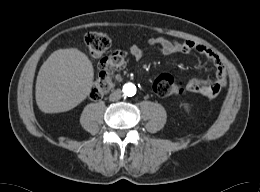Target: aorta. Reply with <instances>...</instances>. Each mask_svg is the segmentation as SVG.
Listing matches in <instances>:
<instances>
[{
  "instance_id": "obj_1",
  "label": "aorta",
  "mask_w": 260,
  "mask_h": 192,
  "mask_svg": "<svg viewBox=\"0 0 260 192\" xmlns=\"http://www.w3.org/2000/svg\"><path fill=\"white\" fill-rule=\"evenodd\" d=\"M123 93L129 97L134 96L136 93V86L133 83H126L123 86Z\"/></svg>"
}]
</instances>
